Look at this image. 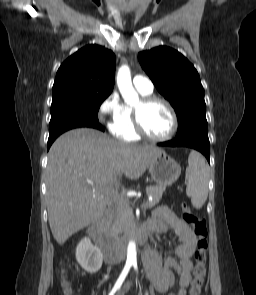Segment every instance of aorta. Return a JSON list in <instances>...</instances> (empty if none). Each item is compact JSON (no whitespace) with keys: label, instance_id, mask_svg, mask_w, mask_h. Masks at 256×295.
<instances>
[{"label":"aorta","instance_id":"1","mask_svg":"<svg viewBox=\"0 0 256 295\" xmlns=\"http://www.w3.org/2000/svg\"><path fill=\"white\" fill-rule=\"evenodd\" d=\"M117 85L123 100L127 105L133 106L139 102V96L132 85L131 72L128 66L123 65L118 70ZM136 258V244L134 241H129L127 248V261L134 262L136 261Z\"/></svg>","mask_w":256,"mask_h":295}]
</instances>
